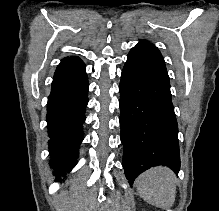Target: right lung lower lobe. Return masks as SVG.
Segmentation results:
<instances>
[{
    "label": "right lung lower lobe",
    "instance_id": "obj_1",
    "mask_svg": "<svg viewBox=\"0 0 219 211\" xmlns=\"http://www.w3.org/2000/svg\"><path fill=\"white\" fill-rule=\"evenodd\" d=\"M88 87L82 60L76 56L62 59L54 74L47 104L50 164L57 176L65 177L76 164L83 139ZM56 181H61L59 176Z\"/></svg>",
    "mask_w": 219,
    "mask_h": 211
}]
</instances>
